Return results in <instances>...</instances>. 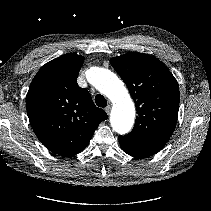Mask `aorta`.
<instances>
[{
	"label": "aorta",
	"mask_w": 211,
	"mask_h": 211,
	"mask_svg": "<svg viewBox=\"0 0 211 211\" xmlns=\"http://www.w3.org/2000/svg\"><path fill=\"white\" fill-rule=\"evenodd\" d=\"M87 78L114 102L110 118L113 130L121 135L128 133L134 124L135 106L124 83L112 71L99 67L90 68Z\"/></svg>",
	"instance_id": "aorta-1"
}]
</instances>
